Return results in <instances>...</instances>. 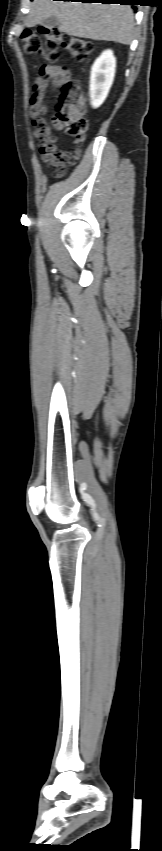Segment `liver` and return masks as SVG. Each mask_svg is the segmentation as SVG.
Segmentation results:
<instances>
[{"label": "liver", "instance_id": "1", "mask_svg": "<svg viewBox=\"0 0 162 851\" xmlns=\"http://www.w3.org/2000/svg\"><path fill=\"white\" fill-rule=\"evenodd\" d=\"M50 16L58 19L60 31L72 36L124 45L134 37V15L128 5L34 0L25 24L34 27Z\"/></svg>", "mask_w": 162, "mask_h": 851}]
</instances>
